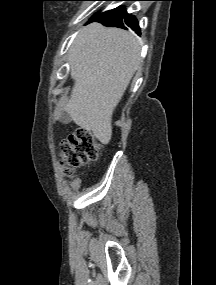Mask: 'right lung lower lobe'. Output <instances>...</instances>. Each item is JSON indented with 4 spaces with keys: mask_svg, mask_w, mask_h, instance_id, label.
<instances>
[{
    "mask_svg": "<svg viewBox=\"0 0 216 285\" xmlns=\"http://www.w3.org/2000/svg\"><path fill=\"white\" fill-rule=\"evenodd\" d=\"M91 21H97L105 26L119 27L122 29H128L127 27H130L137 34H140V28L136 18L128 14L122 6L100 14Z\"/></svg>",
    "mask_w": 216,
    "mask_h": 285,
    "instance_id": "98d812e1",
    "label": "right lung lower lobe"
}]
</instances>
